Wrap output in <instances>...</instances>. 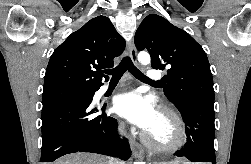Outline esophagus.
Wrapping results in <instances>:
<instances>
[{"instance_id": "34e87169", "label": "esophagus", "mask_w": 251, "mask_h": 164, "mask_svg": "<svg viewBox=\"0 0 251 164\" xmlns=\"http://www.w3.org/2000/svg\"><path fill=\"white\" fill-rule=\"evenodd\" d=\"M129 55L134 64H137V50L133 41L128 44ZM130 146L135 158H141L143 156V149L141 145L133 138H130Z\"/></svg>"}]
</instances>
